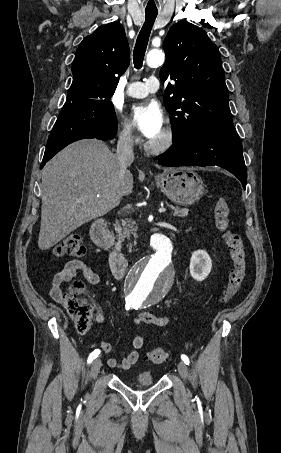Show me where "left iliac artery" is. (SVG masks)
<instances>
[{
    "instance_id": "1",
    "label": "left iliac artery",
    "mask_w": 281,
    "mask_h": 453,
    "mask_svg": "<svg viewBox=\"0 0 281 453\" xmlns=\"http://www.w3.org/2000/svg\"><path fill=\"white\" fill-rule=\"evenodd\" d=\"M133 308L137 310L139 306H134ZM181 359L184 361L186 365H189V358L186 355H181Z\"/></svg>"
}]
</instances>
